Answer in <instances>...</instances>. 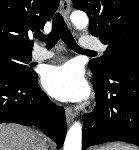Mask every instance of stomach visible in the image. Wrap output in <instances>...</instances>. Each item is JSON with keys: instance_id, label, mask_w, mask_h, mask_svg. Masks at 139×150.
<instances>
[{"instance_id": "stomach-1", "label": "stomach", "mask_w": 139, "mask_h": 150, "mask_svg": "<svg viewBox=\"0 0 139 150\" xmlns=\"http://www.w3.org/2000/svg\"><path fill=\"white\" fill-rule=\"evenodd\" d=\"M93 150H108L107 147H100V148H95Z\"/></svg>"}]
</instances>
